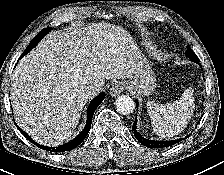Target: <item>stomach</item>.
I'll return each instance as SVG.
<instances>
[{"label": "stomach", "instance_id": "stomach-1", "mask_svg": "<svg viewBox=\"0 0 224 175\" xmlns=\"http://www.w3.org/2000/svg\"><path fill=\"white\" fill-rule=\"evenodd\" d=\"M139 73L133 81L129 82V88L143 95H150L156 88V76L149 61L140 55Z\"/></svg>", "mask_w": 224, "mask_h": 175}]
</instances>
